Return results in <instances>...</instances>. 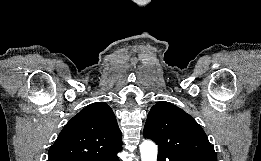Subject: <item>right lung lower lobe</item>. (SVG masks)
Masks as SVG:
<instances>
[{"mask_svg":"<svg viewBox=\"0 0 261 161\" xmlns=\"http://www.w3.org/2000/svg\"><path fill=\"white\" fill-rule=\"evenodd\" d=\"M119 151L120 150H117V151H114V152L99 155L97 157L85 158V159H81V160H78V161H118L117 153Z\"/></svg>","mask_w":261,"mask_h":161,"instance_id":"right-lung-lower-lobe-1","label":"right lung lower lobe"}]
</instances>
